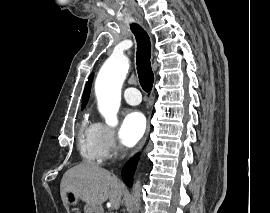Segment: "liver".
<instances>
[{
	"instance_id": "1",
	"label": "liver",
	"mask_w": 270,
	"mask_h": 213,
	"mask_svg": "<svg viewBox=\"0 0 270 213\" xmlns=\"http://www.w3.org/2000/svg\"><path fill=\"white\" fill-rule=\"evenodd\" d=\"M67 189L73 190L78 199L92 207H100L109 199L112 207L118 209L125 187L108 170L94 163L84 162L68 169L61 180V198L69 213V204L64 197Z\"/></svg>"
}]
</instances>
